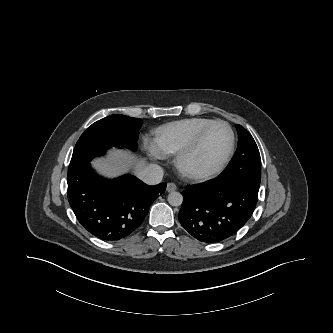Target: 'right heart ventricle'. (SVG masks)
I'll use <instances>...</instances> for the list:
<instances>
[{"instance_id": "right-heart-ventricle-1", "label": "right heart ventricle", "mask_w": 333, "mask_h": 333, "mask_svg": "<svg viewBox=\"0 0 333 333\" xmlns=\"http://www.w3.org/2000/svg\"><path fill=\"white\" fill-rule=\"evenodd\" d=\"M213 119L194 117L165 124L155 131V148L162 155H175L186 148Z\"/></svg>"}]
</instances>
